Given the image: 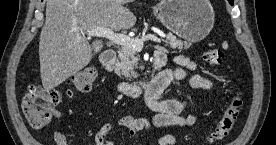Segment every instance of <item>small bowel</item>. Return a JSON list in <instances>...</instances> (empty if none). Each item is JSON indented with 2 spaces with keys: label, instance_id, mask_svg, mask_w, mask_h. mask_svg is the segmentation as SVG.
<instances>
[{
  "label": "small bowel",
  "instance_id": "obj_1",
  "mask_svg": "<svg viewBox=\"0 0 276 145\" xmlns=\"http://www.w3.org/2000/svg\"><path fill=\"white\" fill-rule=\"evenodd\" d=\"M164 54L162 51H158ZM166 57V55L164 54ZM174 62L178 66L175 69H167L163 71V75L172 80H182L185 77V68L194 69L195 64L187 57L178 55L174 57ZM190 84L196 89H210L212 83L210 80L200 76L194 75L190 78ZM163 90L150 88L145 91L144 101L146 106L154 112L152 118L123 116L118 121L117 125L125 128L130 137L139 139L143 131L152 128L169 129L175 126H189L195 122L194 116L184 117L182 113L185 110V103L181 100L168 98L162 99ZM113 123H106L94 134L95 145H114L108 139L110 131L114 128ZM53 139L56 145H68L67 136L62 131H55ZM159 145H174L175 138L171 134H165L159 139Z\"/></svg>",
  "mask_w": 276,
  "mask_h": 145
}]
</instances>
